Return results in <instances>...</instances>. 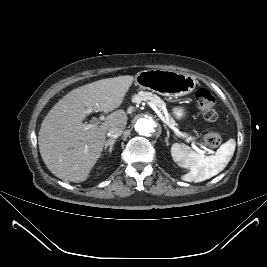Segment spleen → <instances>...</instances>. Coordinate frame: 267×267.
Segmentation results:
<instances>
[{"label":"spleen","instance_id":"3e777b00","mask_svg":"<svg viewBox=\"0 0 267 267\" xmlns=\"http://www.w3.org/2000/svg\"><path fill=\"white\" fill-rule=\"evenodd\" d=\"M236 142L230 138L213 155L205 156L193 151L185 144L174 143L171 156L180 167L189 169L181 178L187 182H201L220 173L231 160Z\"/></svg>","mask_w":267,"mask_h":267}]
</instances>
